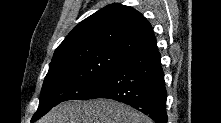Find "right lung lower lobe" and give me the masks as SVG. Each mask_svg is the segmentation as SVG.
Listing matches in <instances>:
<instances>
[{"instance_id":"right-lung-lower-lobe-1","label":"right lung lower lobe","mask_w":221,"mask_h":123,"mask_svg":"<svg viewBox=\"0 0 221 123\" xmlns=\"http://www.w3.org/2000/svg\"><path fill=\"white\" fill-rule=\"evenodd\" d=\"M166 88L157 48L129 55L98 81L89 99L108 98L128 104L156 123H166Z\"/></svg>"}]
</instances>
